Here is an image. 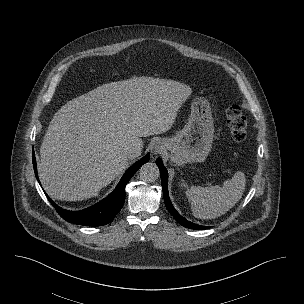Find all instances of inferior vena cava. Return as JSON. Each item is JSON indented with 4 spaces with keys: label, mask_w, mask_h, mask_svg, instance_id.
I'll list each match as a JSON object with an SVG mask.
<instances>
[{
    "label": "inferior vena cava",
    "mask_w": 304,
    "mask_h": 304,
    "mask_svg": "<svg viewBox=\"0 0 304 304\" xmlns=\"http://www.w3.org/2000/svg\"><path fill=\"white\" fill-rule=\"evenodd\" d=\"M141 152L140 148L137 146H129L126 150V155L129 158H133L136 157L137 155H139Z\"/></svg>",
    "instance_id": "602c4592"
}]
</instances>
